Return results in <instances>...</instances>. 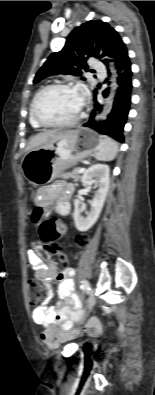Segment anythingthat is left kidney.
Returning a JSON list of instances; mask_svg holds the SVG:
<instances>
[{"label": "left kidney", "instance_id": "5707ae66", "mask_svg": "<svg viewBox=\"0 0 155 395\" xmlns=\"http://www.w3.org/2000/svg\"><path fill=\"white\" fill-rule=\"evenodd\" d=\"M110 169L106 164H94L83 174L81 182L84 185L98 187L93 200L90 201L91 209L87 212V217L82 216L83 208L80 199L74 201V222L79 231L89 230L98 220L102 211L107 192L109 189Z\"/></svg>", "mask_w": 155, "mask_h": 395}]
</instances>
